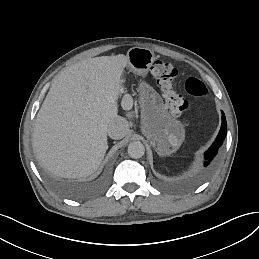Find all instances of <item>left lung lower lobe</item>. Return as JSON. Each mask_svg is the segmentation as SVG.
Returning a JSON list of instances; mask_svg holds the SVG:
<instances>
[{
  "label": "left lung lower lobe",
  "mask_w": 259,
  "mask_h": 259,
  "mask_svg": "<svg viewBox=\"0 0 259 259\" xmlns=\"http://www.w3.org/2000/svg\"><path fill=\"white\" fill-rule=\"evenodd\" d=\"M226 133H227V122H226L225 115L222 112L221 129H220V132H219L216 140L212 144V146L205 152L204 162H203L204 167H207L214 160L215 156L218 153L220 146L222 145V143L225 139Z\"/></svg>",
  "instance_id": "1"
}]
</instances>
